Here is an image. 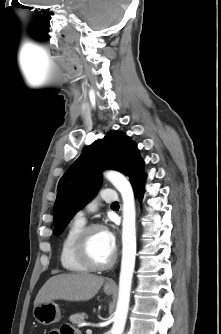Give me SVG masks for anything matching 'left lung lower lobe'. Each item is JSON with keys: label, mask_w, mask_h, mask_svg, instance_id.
Wrapping results in <instances>:
<instances>
[{"label": "left lung lower lobe", "mask_w": 221, "mask_h": 334, "mask_svg": "<svg viewBox=\"0 0 221 334\" xmlns=\"http://www.w3.org/2000/svg\"><path fill=\"white\" fill-rule=\"evenodd\" d=\"M144 179H145V174L143 170L141 169L131 180V184L133 186L134 193L135 195L140 196V199H142V195H143Z\"/></svg>", "instance_id": "obj_1"}]
</instances>
